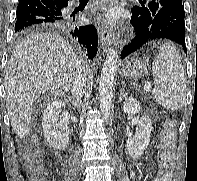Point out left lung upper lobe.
Listing matches in <instances>:
<instances>
[{
  "label": "left lung upper lobe",
  "mask_w": 197,
  "mask_h": 181,
  "mask_svg": "<svg viewBox=\"0 0 197 181\" xmlns=\"http://www.w3.org/2000/svg\"><path fill=\"white\" fill-rule=\"evenodd\" d=\"M175 2H182V0H147L141 3V6H134L131 9L132 20L137 22L148 23L157 11L166 5Z\"/></svg>",
  "instance_id": "1"
}]
</instances>
